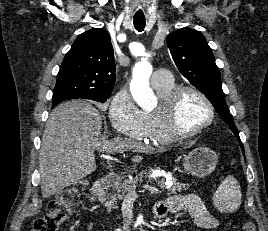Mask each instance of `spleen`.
<instances>
[{"label": "spleen", "mask_w": 268, "mask_h": 231, "mask_svg": "<svg viewBox=\"0 0 268 231\" xmlns=\"http://www.w3.org/2000/svg\"><path fill=\"white\" fill-rule=\"evenodd\" d=\"M213 204L220 212H234L241 205L242 194L236 178L227 176L213 194Z\"/></svg>", "instance_id": "1"}]
</instances>
